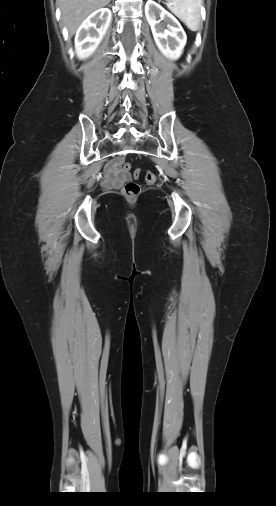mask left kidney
<instances>
[{
  "instance_id": "obj_1",
  "label": "left kidney",
  "mask_w": 276,
  "mask_h": 506,
  "mask_svg": "<svg viewBox=\"0 0 276 506\" xmlns=\"http://www.w3.org/2000/svg\"><path fill=\"white\" fill-rule=\"evenodd\" d=\"M145 15L159 50L169 59H178L187 41L186 33L178 20L153 0L146 2ZM162 20L167 29L160 23Z\"/></svg>"
}]
</instances>
